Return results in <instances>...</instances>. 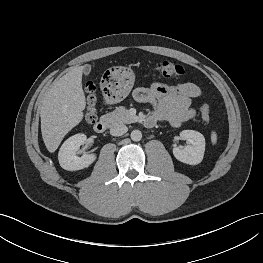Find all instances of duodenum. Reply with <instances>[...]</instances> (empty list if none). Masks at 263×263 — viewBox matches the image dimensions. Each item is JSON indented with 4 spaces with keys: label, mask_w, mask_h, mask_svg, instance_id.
Returning <instances> with one entry per match:
<instances>
[{
    "label": "duodenum",
    "mask_w": 263,
    "mask_h": 263,
    "mask_svg": "<svg viewBox=\"0 0 263 263\" xmlns=\"http://www.w3.org/2000/svg\"><path fill=\"white\" fill-rule=\"evenodd\" d=\"M144 124L148 127H152L154 125V120L151 117H147L144 120ZM108 125H109V119L103 118L95 122L93 129L96 133L102 134L107 130Z\"/></svg>",
    "instance_id": "410a0bca"
}]
</instances>
